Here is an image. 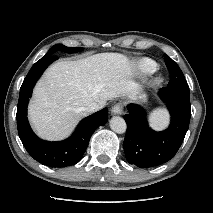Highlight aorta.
Returning a JSON list of instances; mask_svg holds the SVG:
<instances>
[{
    "label": "aorta",
    "mask_w": 213,
    "mask_h": 213,
    "mask_svg": "<svg viewBox=\"0 0 213 213\" xmlns=\"http://www.w3.org/2000/svg\"><path fill=\"white\" fill-rule=\"evenodd\" d=\"M110 127L114 132L118 134L126 132L127 129L125 120L119 116H115L110 120Z\"/></svg>",
    "instance_id": "aorta-1"
}]
</instances>
